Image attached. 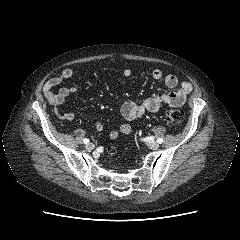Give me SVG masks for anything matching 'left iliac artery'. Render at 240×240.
Returning <instances> with one entry per match:
<instances>
[{"label": "left iliac artery", "instance_id": "44dca946", "mask_svg": "<svg viewBox=\"0 0 240 240\" xmlns=\"http://www.w3.org/2000/svg\"><path fill=\"white\" fill-rule=\"evenodd\" d=\"M157 142H158L159 144H161V143H163V139H162V138H158V139H157Z\"/></svg>", "mask_w": 240, "mask_h": 240}]
</instances>
